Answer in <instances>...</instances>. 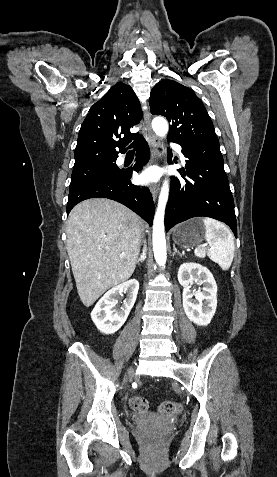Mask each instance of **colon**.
Instances as JSON below:
<instances>
[{
	"instance_id": "obj_1",
	"label": "colon",
	"mask_w": 277,
	"mask_h": 477,
	"mask_svg": "<svg viewBox=\"0 0 277 477\" xmlns=\"http://www.w3.org/2000/svg\"><path fill=\"white\" fill-rule=\"evenodd\" d=\"M130 406L131 408L139 413H144L148 411L149 409V403L148 401L141 397V396H134L130 399ZM181 409L180 404L174 401H163L159 406H158V411L162 415H173L177 412H179Z\"/></svg>"
}]
</instances>
